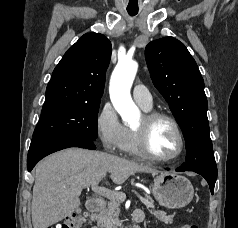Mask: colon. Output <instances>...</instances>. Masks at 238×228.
<instances>
[{
	"mask_svg": "<svg viewBox=\"0 0 238 228\" xmlns=\"http://www.w3.org/2000/svg\"><path fill=\"white\" fill-rule=\"evenodd\" d=\"M88 214L81 210L75 211L73 214L65 218L63 221L59 222L55 226L48 228H82V226L87 221ZM180 228H199L198 226L184 223Z\"/></svg>",
	"mask_w": 238,
	"mask_h": 228,
	"instance_id": "obj_1",
	"label": "colon"
}]
</instances>
